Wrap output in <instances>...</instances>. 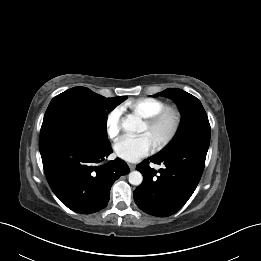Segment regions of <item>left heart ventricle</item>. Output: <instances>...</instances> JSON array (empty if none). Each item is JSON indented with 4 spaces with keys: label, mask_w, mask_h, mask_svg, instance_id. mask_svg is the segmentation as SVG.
I'll return each mask as SVG.
<instances>
[{
    "label": "left heart ventricle",
    "mask_w": 261,
    "mask_h": 261,
    "mask_svg": "<svg viewBox=\"0 0 261 261\" xmlns=\"http://www.w3.org/2000/svg\"><path fill=\"white\" fill-rule=\"evenodd\" d=\"M171 121L170 119H166L161 122L159 125L155 127H148L145 123L141 125L139 130L140 133L147 134L151 140V142L155 145L158 141H160L168 132L170 128Z\"/></svg>",
    "instance_id": "left-heart-ventricle-1"
}]
</instances>
